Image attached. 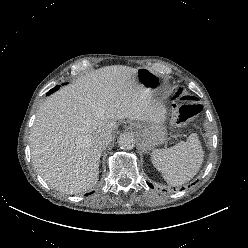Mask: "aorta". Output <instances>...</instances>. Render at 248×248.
Returning <instances> with one entry per match:
<instances>
[{
  "label": "aorta",
  "mask_w": 248,
  "mask_h": 248,
  "mask_svg": "<svg viewBox=\"0 0 248 248\" xmlns=\"http://www.w3.org/2000/svg\"><path fill=\"white\" fill-rule=\"evenodd\" d=\"M117 142L119 147L123 150H131L135 146V138L127 133L121 134Z\"/></svg>",
  "instance_id": "aorta-1"
}]
</instances>
